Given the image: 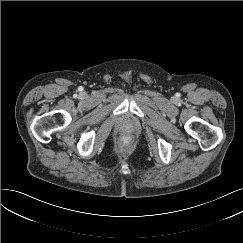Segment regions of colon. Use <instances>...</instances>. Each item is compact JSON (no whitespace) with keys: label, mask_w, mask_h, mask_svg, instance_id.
Listing matches in <instances>:
<instances>
[{"label":"colon","mask_w":243,"mask_h":243,"mask_svg":"<svg viewBox=\"0 0 243 243\" xmlns=\"http://www.w3.org/2000/svg\"><path fill=\"white\" fill-rule=\"evenodd\" d=\"M128 144H129L128 141H124V142H123V146H125V147L128 146Z\"/></svg>","instance_id":"1"}]
</instances>
